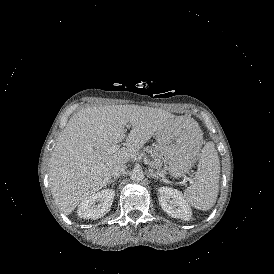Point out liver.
Listing matches in <instances>:
<instances>
[{
	"label": "liver",
	"mask_w": 274,
	"mask_h": 274,
	"mask_svg": "<svg viewBox=\"0 0 274 274\" xmlns=\"http://www.w3.org/2000/svg\"><path fill=\"white\" fill-rule=\"evenodd\" d=\"M193 119L135 104L90 105L68 121L51 155L49 186L58 208L70 215L85 198L106 187L116 165L127 164L156 135ZM170 122V123H169ZM132 130L126 136V126ZM126 140L114 152L112 145Z\"/></svg>",
	"instance_id": "6515ba94"
}]
</instances>
